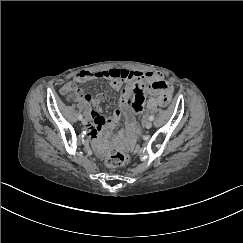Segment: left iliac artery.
Masks as SVG:
<instances>
[{
  "label": "left iliac artery",
  "instance_id": "left-iliac-artery-1",
  "mask_svg": "<svg viewBox=\"0 0 243 243\" xmlns=\"http://www.w3.org/2000/svg\"><path fill=\"white\" fill-rule=\"evenodd\" d=\"M149 120H150V121H153V120H154V116L151 115V116L149 117Z\"/></svg>",
  "mask_w": 243,
  "mask_h": 243
}]
</instances>
